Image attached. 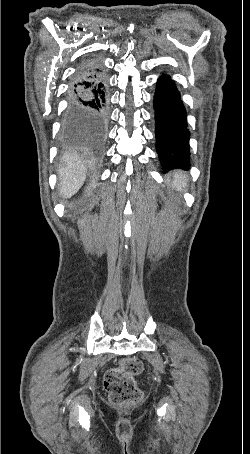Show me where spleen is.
I'll use <instances>...</instances> for the list:
<instances>
[{
    "instance_id": "obj_1",
    "label": "spleen",
    "mask_w": 250,
    "mask_h": 454,
    "mask_svg": "<svg viewBox=\"0 0 250 454\" xmlns=\"http://www.w3.org/2000/svg\"><path fill=\"white\" fill-rule=\"evenodd\" d=\"M187 186V177L182 172H176L174 175L173 187L177 190L185 189Z\"/></svg>"
}]
</instances>
